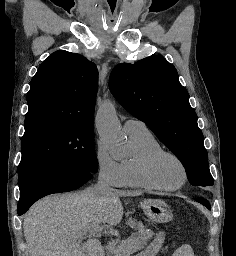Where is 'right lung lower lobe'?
<instances>
[{
  "mask_svg": "<svg viewBox=\"0 0 236 256\" xmlns=\"http://www.w3.org/2000/svg\"><path fill=\"white\" fill-rule=\"evenodd\" d=\"M92 178L80 170L45 175L28 181L20 189L18 214H24L38 199L53 193L75 190Z\"/></svg>",
  "mask_w": 236,
  "mask_h": 256,
  "instance_id": "right-lung-lower-lobe-1",
  "label": "right lung lower lobe"
}]
</instances>
